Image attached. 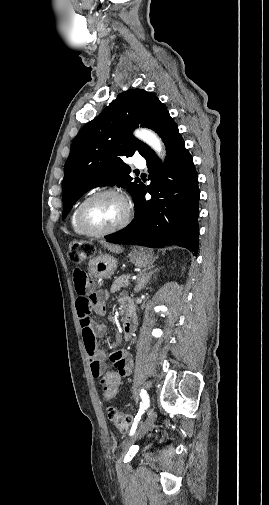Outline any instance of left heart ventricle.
Here are the masks:
<instances>
[{"label": "left heart ventricle", "mask_w": 269, "mask_h": 505, "mask_svg": "<svg viewBox=\"0 0 269 505\" xmlns=\"http://www.w3.org/2000/svg\"><path fill=\"white\" fill-rule=\"evenodd\" d=\"M125 215L123 201L115 196H104L93 201L86 209L85 220L93 228L104 230L118 224Z\"/></svg>", "instance_id": "obj_1"}]
</instances>
